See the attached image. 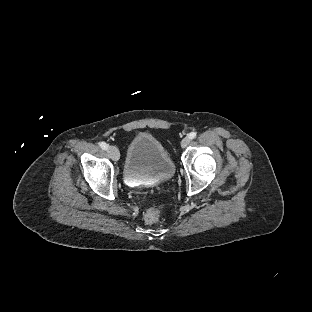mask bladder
<instances>
[{"mask_svg": "<svg viewBox=\"0 0 312 312\" xmlns=\"http://www.w3.org/2000/svg\"><path fill=\"white\" fill-rule=\"evenodd\" d=\"M174 169L172 156L152 134L140 133L131 139L124 161L126 177L166 180L173 175Z\"/></svg>", "mask_w": 312, "mask_h": 312, "instance_id": "1", "label": "bladder"}]
</instances>
